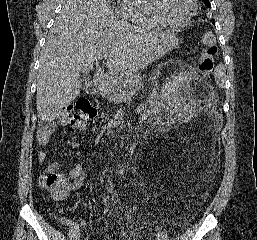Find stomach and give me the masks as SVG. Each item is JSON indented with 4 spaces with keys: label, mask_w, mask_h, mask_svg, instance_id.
Masks as SVG:
<instances>
[{
    "label": "stomach",
    "mask_w": 257,
    "mask_h": 240,
    "mask_svg": "<svg viewBox=\"0 0 257 240\" xmlns=\"http://www.w3.org/2000/svg\"><path fill=\"white\" fill-rule=\"evenodd\" d=\"M178 37L171 32L165 33L163 38L149 49L127 72H137L145 69L160 57L168 54L178 46Z\"/></svg>",
    "instance_id": "1"
}]
</instances>
